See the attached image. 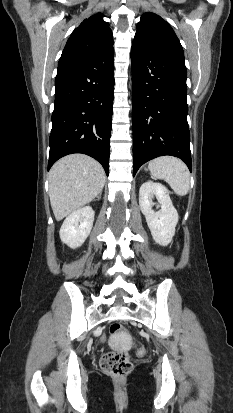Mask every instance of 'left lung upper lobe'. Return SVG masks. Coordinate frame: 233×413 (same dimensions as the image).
<instances>
[{
  "label": "left lung upper lobe",
  "mask_w": 233,
  "mask_h": 413,
  "mask_svg": "<svg viewBox=\"0 0 233 413\" xmlns=\"http://www.w3.org/2000/svg\"><path fill=\"white\" fill-rule=\"evenodd\" d=\"M133 44L157 48L184 60L183 48L175 32L164 19L154 13L142 15Z\"/></svg>",
  "instance_id": "5c2ea615"
}]
</instances>
